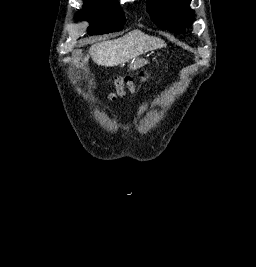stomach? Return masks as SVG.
I'll use <instances>...</instances> for the list:
<instances>
[{
  "label": "stomach",
  "mask_w": 256,
  "mask_h": 267,
  "mask_svg": "<svg viewBox=\"0 0 256 267\" xmlns=\"http://www.w3.org/2000/svg\"><path fill=\"white\" fill-rule=\"evenodd\" d=\"M137 67H151V62H137Z\"/></svg>",
  "instance_id": "0dacf381"
}]
</instances>
